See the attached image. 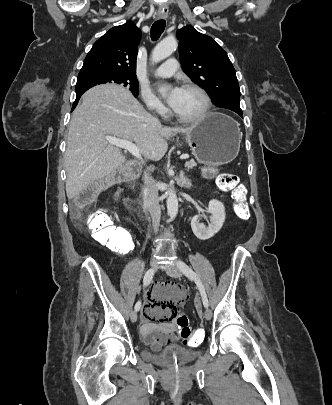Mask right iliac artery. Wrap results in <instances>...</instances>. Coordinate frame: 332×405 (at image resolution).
<instances>
[{"instance_id": "obj_1", "label": "right iliac artery", "mask_w": 332, "mask_h": 405, "mask_svg": "<svg viewBox=\"0 0 332 405\" xmlns=\"http://www.w3.org/2000/svg\"><path fill=\"white\" fill-rule=\"evenodd\" d=\"M153 275H154V271L151 270V269H149V270L146 272V274H145V276H144V279H143V285H144V286H147V285L150 284V282H151V280H152V278H153ZM140 308H141V300H139V301L135 304V311H139Z\"/></svg>"}]
</instances>
